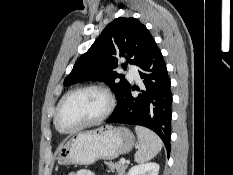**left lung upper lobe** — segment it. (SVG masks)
<instances>
[{
    "mask_svg": "<svg viewBox=\"0 0 233 175\" xmlns=\"http://www.w3.org/2000/svg\"><path fill=\"white\" fill-rule=\"evenodd\" d=\"M156 45L149 30L135 18H117L105 27L90 49L75 63L64 85L85 80L105 82L116 95L119 106L124 94L130 88L128 81L115 71L118 58L140 66ZM120 78V81L117 79Z\"/></svg>",
    "mask_w": 233,
    "mask_h": 175,
    "instance_id": "5c2ea615",
    "label": "left lung upper lobe"
}]
</instances>
